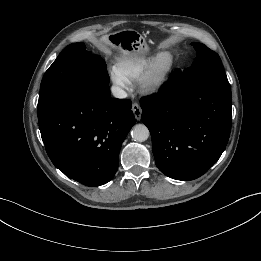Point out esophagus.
<instances>
[{
	"instance_id": "obj_1",
	"label": "esophagus",
	"mask_w": 261,
	"mask_h": 261,
	"mask_svg": "<svg viewBox=\"0 0 261 261\" xmlns=\"http://www.w3.org/2000/svg\"><path fill=\"white\" fill-rule=\"evenodd\" d=\"M132 111H133V114H134L136 120H140L141 115H142V110H141L140 105L137 104V103H133L132 104Z\"/></svg>"
}]
</instances>
